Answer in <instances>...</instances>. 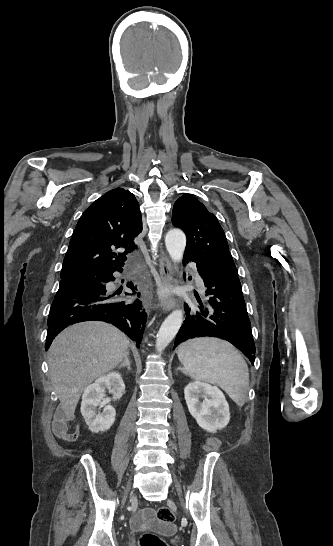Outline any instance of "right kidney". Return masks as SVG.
<instances>
[{"label":"right kidney","mask_w":333,"mask_h":546,"mask_svg":"<svg viewBox=\"0 0 333 546\" xmlns=\"http://www.w3.org/2000/svg\"><path fill=\"white\" fill-rule=\"evenodd\" d=\"M106 389H109V392L113 394L114 400H119L122 397L125 384L120 373L110 372L97 378L82 395L81 413L89 430L93 433L108 430L115 421L116 411L112 406H105L102 412L97 409L103 400Z\"/></svg>","instance_id":"obj_1"}]
</instances>
